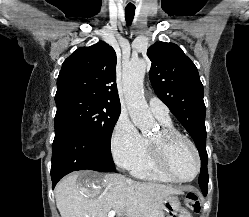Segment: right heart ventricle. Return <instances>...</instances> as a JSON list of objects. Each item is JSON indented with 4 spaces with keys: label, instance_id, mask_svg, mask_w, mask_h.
Wrapping results in <instances>:
<instances>
[{
    "label": "right heart ventricle",
    "instance_id": "obj_1",
    "mask_svg": "<svg viewBox=\"0 0 249 217\" xmlns=\"http://www.w3.org/2000/svg\"><path fill=\"white\" fill-rule=\"evenodd\" d=\"M160 122L164 128L174 129L171 121ZM130 170L134 176L141 179L164 183L175 182L167 177L164 173H162L157 167L153 159L150 142L148 140H145L144 149L139 157L135 160V162L131 165Z\"/></svg>",
    "mask_w": 249,
    "mask_h": 217
}]
</instances>
